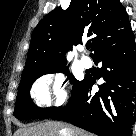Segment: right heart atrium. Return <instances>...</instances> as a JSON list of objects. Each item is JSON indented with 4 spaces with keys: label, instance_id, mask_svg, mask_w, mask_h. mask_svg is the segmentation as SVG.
<instances>
[{
    "label": "right heart atrium",
    "instance_id": "1",
    "mask_svg": "<svg viewBox=\"0 0 136 136\" xmlns=\"http://www.w3.org/2000/svg\"><path fill=\"white\" fill-rule=\"evenodd\" d=\"M31 96L38 106L64 104L68 98L64 75L56 73L39 78L32 86Z\"/></svg>",
    "mask_w": 136,
    "mask_h": 136
}]
</instances>
